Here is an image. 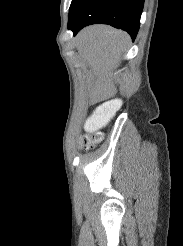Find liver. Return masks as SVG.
<instances>
[{"label":"liver","mask_w":183,"mask_h":246,"mask_svg":"<svg viewBox=\"0 0 183 246\" xmlns=\"http://www.w3.org/2000/svg\"><path fill=\"white\" fill-rule=\"evenodd\" d=\"M83 62L90 67L86 85L92 101L104 100L116 92L112 71L129 43V35L107 25L84 28L75 39Z\"/></svg>","instance_id":"liver-1"}]
</instances>
